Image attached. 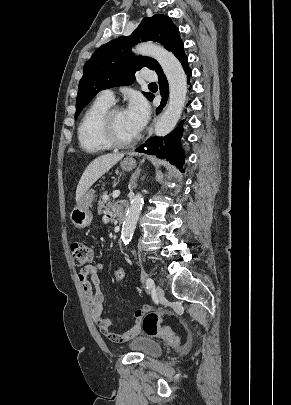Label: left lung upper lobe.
<instances>
[{
  "instance_id": "obj_1",
  "label": "left lung upper lobe",
  "mask_w": 291,
  "mask_h": 405,
  "mask_svg": "<svg viewBox=\"0 0 291 405\" xmlns=\"http://www.w3.org/2000/svg\"><path fill=\"white\" fill-rule=\"evenodd\" d=\"M157 41L172 51L181 40L179 29L166 15H154L143 19L138 28L128 37L121 36L99 47L83 68L79 83L75 118L87 103L101 90L130 85L135 81V72L142 67L156 70L159 63L144 56H134L131 47L140 41ZM150 99L151 93L144 92Z\"/></svg>"
}]
</instances>
